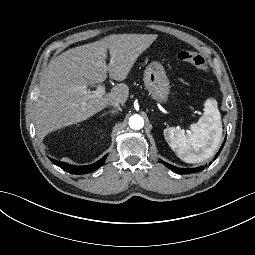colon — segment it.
Instances as JSON below:
<instances>
[{
  "label": "colon",
  "mask_w": 255,
  "mask_h": 255,
  "mask_svg": "<svg viewBox=\"0 0 255 255\" xmlns=\"http://www.w3.org/2000/svg\"><path fill=\"white\" fill-rule=\"evenodd\" d=\"M177 59L183 62H187L194 66L200 72H207V64L205 59L198 53L190 50H179L177 52Z\"/></svg>",
  "instance_id": "1"
}]
</instances>
